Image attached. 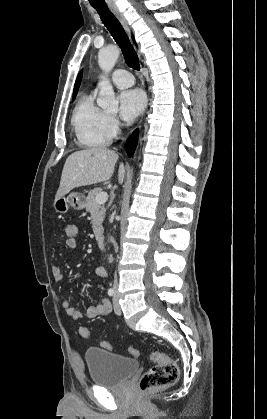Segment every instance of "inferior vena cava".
Instances as JSON below:
<instances>
[{
    "label": "inferior vena cava",
    "instance_id": "inferior-vena-cava-1",
    "mask_svg": "<svg viewBox=\"0 0 267 419\" xmlns=\"http://www.w3.org/2000/svg\"><path fill=\"white\" fill-rule=\"evenodd\" d=\"M114 287L116 288L117 287V285H118V283H117V275H116V273H115V275H114Z\"/></svg>",
    "mask_w": 267,
    "mask_h": 419
}]
</instances>
